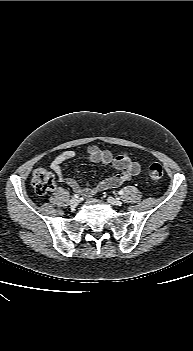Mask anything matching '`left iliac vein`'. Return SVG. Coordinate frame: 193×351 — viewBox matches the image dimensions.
Returning a JSON list of instances; mask_svg holds the SVG:
<instances>
[{
	"label": "left iliac vein",
	"mask_w": 193,
	"mask_h": 351,
	"mask_svg": "<svg viewBox=\"0 0 193 351\" xmlns=\"http://www.w3.org/2000/svg\"><path fill=\"white\" fill-rule=\"evenodd\" d=\"M107 201L111 204V205H121L122 202L119 199H116L114 197H108Z\"/></svg>",
	"instance_id": "4c4485c4"
}]
</instances>
